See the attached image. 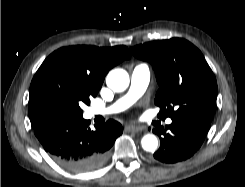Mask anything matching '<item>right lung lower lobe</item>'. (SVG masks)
<instances>
[{
  "instance_id": "98d812e1",
  "label": "right lung lower lobe",
  "mask_w": 245,
  "mask_h": 187,
  "mask_svg": "<svg viewBox=\"0 0 245 187\" xmlns=\"http://www.w3.org/2000/svg\"><path fill=\"white\" fill-rule=\"evenodd\" d=\"M89 128L83 117L50 120L34 133L49 156L63 168L87 172L99 168L108 158V151L123 132L120 123L109 120L104 126Z\"/></svg>"
}]
</instances>
